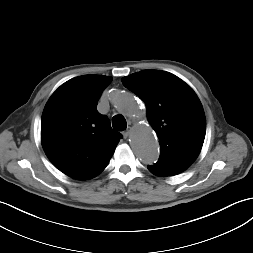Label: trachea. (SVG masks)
<instances>
[{
    "mask_svg": "<svg viewBox=\"0 0 253 253\" xmlns=\"http://www.w3.org/2000/svg\"><path fill=\"white\" fill-rule=\"evenodd\" d=\"M112 126L117 131H123L126 129L127 123L122 115H115L112 119Z\"/></svg>",
    "mask_w": 253,
    "mask_h": 253,
    "instance_id": "trachea-1",
    "label": "trachea"
}]
</instances>
